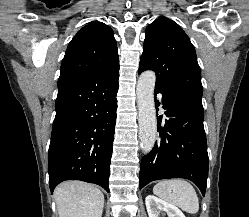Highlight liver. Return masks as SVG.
Listing matches in <instances>:
<instances>
[{
	"label": "liver",
	"instance_id": "1",
	"mask_svg": "<svg viewBox=\"0 0 249 217\" xmlns=\"http://www.w3.org/2000/svg\"><path fill=\"white\" fill-rule=\"evenodd\" d=\"M59 217H101L104 195L99 188L81 181L61 183L54 191Z\"/></svg>",
	"mask_w": 249,
	"mask_h": 217
}]
</instances>
